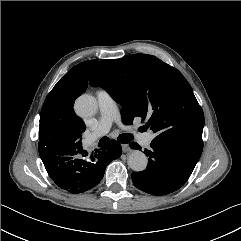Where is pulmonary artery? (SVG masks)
Masks as SVG:
<instances>
[{
    "instance_id": "e3ab8cb5",
    "label": "pulmonary artery",
    "mask_w": 241,
    "mask_h": 241,
    "mask_svg": "<svg viewBox=\"0 0 241 241\" xmlns=\"http://www.w3.org/2000/svg\"><path fill=\"white\" fill-rule=\"evenodd\" d=\"M96 98L100 115L95 127L89 134L87 144H91L97 138L105 135L109 131L112 122L117 120L119 117L116 102L108 91L103 89L98 90L96 92ZM136 136L139 142L145 146H149L154 138L153 133L150 131L145 133L137 132Z\"/></svg>"
}]
</instances>
